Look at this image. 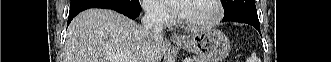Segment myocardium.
<instances>
[{
  "mask_svg": "<svg viewBox=\"0 0 331 62\" xmlns=\"http://www.w3.org/2000/svg\"><path fill=\"white\" fill-rule=\"evenodd\" d=\"M214 9H215V14L214 16L205 22H198V23H194V22H188L186 21L183 17H181V24L186 27L187 29L193 30V31H198V30H206V29H210L213 28L214 26H216L223 18L224 16V10H223V6L221 1L219 0H209Z\"/></svg>",
  "mask_w": 331,
  "mask_h": 62,
  "instance_id": "f54148a6",
  "label": "myocardium"
}]
</instances>
